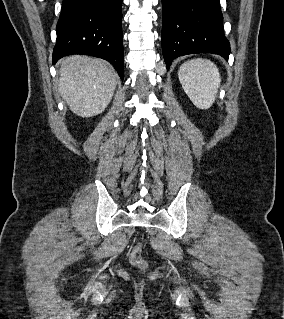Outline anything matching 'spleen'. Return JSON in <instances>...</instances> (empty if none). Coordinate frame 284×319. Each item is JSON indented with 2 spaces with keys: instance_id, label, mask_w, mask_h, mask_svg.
I'll return each instance as SVG.
<instances>
[{
  "instance_id": "spleen-1",
  "label": "spleen",
  "mask_w": 284,
  "mask_h": 319,
  "mask_svg": "<svg viewBox=\"0 0 284 319\" xmlns=\"http://www.w3.org/2000/svg\"><path fill=\"white\" fill-rule=\"evenodd\" d=\"M179 81L193 104L208 109L215 101L221 77L217 66L207 59H192L178 71Z\"/></svg>"
}]
</instances>
